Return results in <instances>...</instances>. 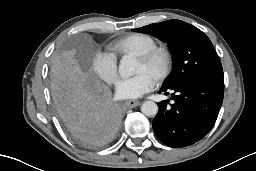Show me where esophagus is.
<instances>
[{
  "instance_id": "obj_1",
  "label": "esophagus",
  "mask_w": 256,
  "mask_h": 171,
  "mask_svg": "<svg viewBox=\"0 0 256 171\" xmlns=\"http://www.w3.org/2000/svg\"><path fill=\"white\" fill-rule=\"evenodd\" d=\"M125 105L129 108H134V107L140 105V101H138V100H127L125 102Z\"/></svg>"
}]
</instances>
